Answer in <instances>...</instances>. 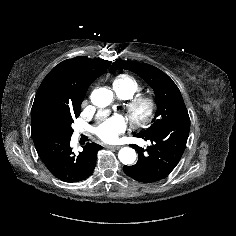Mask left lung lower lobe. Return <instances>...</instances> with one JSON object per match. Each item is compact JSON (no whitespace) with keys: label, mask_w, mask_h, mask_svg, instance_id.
<instances>
[{"label":"left lung lower lobe","mask_w":236,"mask_h":236,"mask_svg":"<svg viewBox=\"0 0 236 236\" xmlns=\"http://www.w3.org/2000/svg\"><path fill=\"white\" fill-rule=\"evenodd\" d=\"M190 130V120L170 124L148 135H134L150 140L146 150L131 145L139 154L135 165L124 166L126 175L143 183L158 182L167 177L180 161L186 147Z\"/></svg>","instance_id":"left-lung-lower-lobe-1"}]
</instances>
